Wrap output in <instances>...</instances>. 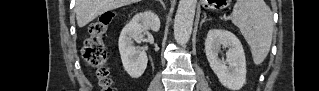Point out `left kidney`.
I'll use <instances>...</instances> for the list:
<instances>
[{"mask_svg": "<svg viewBox=\"0 0 319 91\" xmlns=\"http://www.w3.org/2000/svg\"><path fill=\"white\" fill-rule=\"evenodd\" d=\"M228 48L226 59L218 54ZM205 53L211 69L220 83L228 89L238 91L246 83V59L240 40L227 30L211 29L205 40Z\"/></svg>", "mask_w": 319, "mask_h": 91, "instance_id": "1", "label": "left kidney"}]
</instances>
